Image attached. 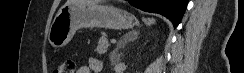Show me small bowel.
<instances>
[{
	"label": "small bowel",
	"mask_w": 244,
	"mask_h": 73,
	"mask_svg": "<svg viewBox=\"0 0 244 73\" xmlns=\"http://www.w3.org/2000/svg\"><path fill=\"white\" fill-rule=\"evenodd\" d=\"M103 62L97 58H90L87 65L81 66L77 73H102Z\"/></svg>",
	"instance_id": "small-bowel-1"
}]
</instances>
